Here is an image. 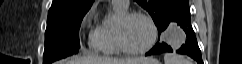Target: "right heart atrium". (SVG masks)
<instances>
[{
  "label": "right heart atrium",
  "instance_id": "d8ad5b80",
  "mask_svg": "<svg viewBox=\"0 0 242 64\" xmlns=\"http://www.w3.org/2000/svg\"><path fill=\"white\" fill-rule=\"evenodd\" d=\"M89 17H90V13L85 17V19H84V24H87ZM96 29H97V28H96ZM96 29H95V30H96ZM95 30L93 31V33L95 32ZM93 33H92V34H93Z\"/></svg>",
  "mask_w": 242,
  "mask_h": 64
}]
</instances>
